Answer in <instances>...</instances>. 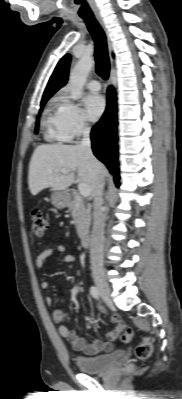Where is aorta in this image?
I'll return each instance as SVG.
<instances>
[{
  "label": "aorta",
  "instance_id": "762f6f07",
  "mask_svg": "<svg viewBox=\"0 0 182 399\" xmlns=\"http://www.w3.org/2000/svg\"><path fill=\"white\" fill-rule=\"evenodd\" d=\"M93 66V58L90 56H83L72 69L68 83L70 98L72 100H77L82 96L83 86Z\"/></svg>",
  "mask_w": 182,
  "mask_h": 399
}]
</instances>
